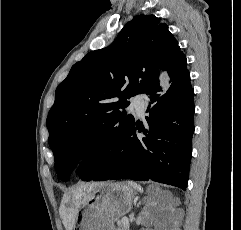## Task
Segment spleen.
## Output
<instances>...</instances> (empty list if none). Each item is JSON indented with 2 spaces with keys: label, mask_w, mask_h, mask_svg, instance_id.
Masks as SVG:
<instances>
[{
  "label": "spleen",
  "mask_w": 241,
  "mask_h": 230,
  "mask_svg": "<svg viewBox=\"0 0 241 230\" xmlns=\"http://www.w3.org/2000/svg\"><path fill=\"white\" fill-rule=\"evenodd\" d=\"M129 185H131L133 188L137 189L139 192H143V188L134 182H128Z\"/></svg>",
  "instance_id": "obj_1"
}]
</instances>
